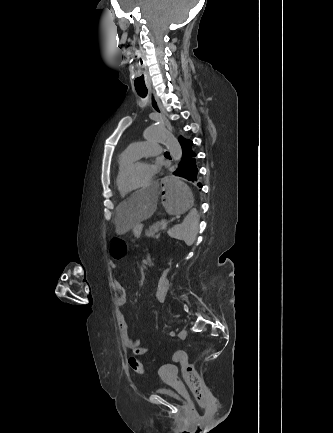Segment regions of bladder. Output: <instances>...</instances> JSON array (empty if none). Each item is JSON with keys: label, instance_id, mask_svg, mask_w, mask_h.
<instances>
[{"label": "bladder", "instance_id": "1", "mask_svg": "<svg viewBox=\"0 0 333 433\" xmlns=\"http://www.w3.org/2000/svg\"><path fill=\"white\" fill-rule=\"evenodd\" d=\"M154 391L160 396L166 397L171 400H180L182 398V395L180 393L168 387H164V386L156 387Z\"/></svg>", "mask_w": 333, "mask_h": 433}]
</instances>
